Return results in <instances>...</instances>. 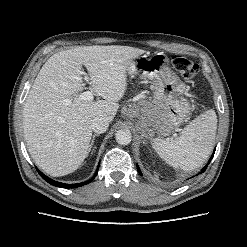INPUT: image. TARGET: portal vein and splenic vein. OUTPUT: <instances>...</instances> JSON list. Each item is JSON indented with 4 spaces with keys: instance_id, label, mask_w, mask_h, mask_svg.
Segmentation results:
<instances>
[{
    "instance_id": "portal-vein-and-splenic-vein-1",
    "label": "portal vein and splenic vein",
    "mask_w": 247,
    "mask_h": 247,
    "mask_svg": "<svg viewBox=\"0 0 247 247\" xmlns=\"http://www.w3.org/2000/svg\"><path fill=\"white\" fill-rule=\"evenodd\" d=\"M83 73V72H82ZM85 80L86 81H89V78L87 76H85ZM80 98L82 100H88V101H92L93 100V93L91 91H86V92H83L81 95H80Z\"/></svg>"
}]
</instances>
